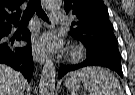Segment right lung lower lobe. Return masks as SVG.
Returning a JSON list of instances; mask_svg holds the SVG:
<instances>
[{"instance_id": "98d812e1", "label": "right lung lower lobe", "mask_w": 135, "mask_h": 95, "mask_svg": "<svg viewBox=\"0 0 135 95\" xmlns=\"http://www.w3.org/2000/svg\"><path fill=\"white\" fill-rule=\"evenodd\" d=\"M11 32V27H3L0 29V64H7L13 69L20 71L24 77L30 81L33 72L32 49L30 45V32L26 30L23 37L17 40L27 41L25 47H14L12 42L5 41L4 37Z\"/></svg>"}]
</instances>
